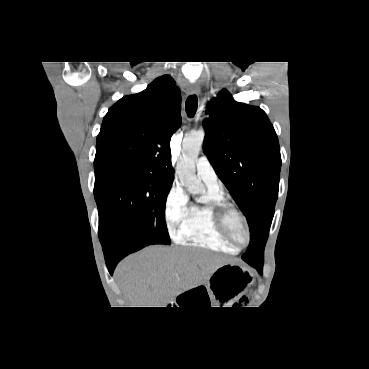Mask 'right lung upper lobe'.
Segmentation results:
<instances>
[{"instance_id": "right-lung-upper-lobe-1", "label": "right lung upper lobe", "mask_w": 369, "mask_h": 369, "mask_svg": "<svg viewBox=\"0 0 369 369\" xmlns=\"http://www.w3.org/2000/svg\"><path fill=\"white\" fill-rule=\"evenodd\" d=\"M180 91L164 75L116 102L97 136L94 168H124L173 181L170 140L181 125Z\"/></svg>"}]
</instances>
